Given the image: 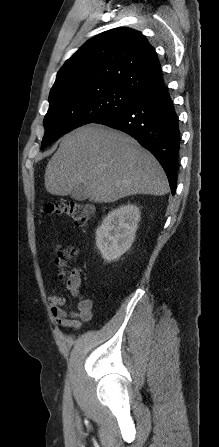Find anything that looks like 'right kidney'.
<instances>
[{
	"instance_id": "right-kidney-1",
	"label": "right kidney",
	"mask_w": 219,
	"mask_h": 447,
	"mask_svg": "<svg viewBox=\"0 0 219 447\" xmlns=\"http://www.w3.org/2000/svg\"><path fill=\"white\" fill-rule=\"evenodd\" d=\"M139 221V208L133 204L108 213L96 230V246L105 260H116L131 247Z\"/></svg>"
}]
</instances>
